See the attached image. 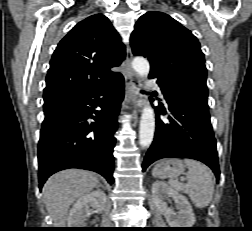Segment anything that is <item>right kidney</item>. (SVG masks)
I'll return each mask as SVG.
<instances>
[{
	"instance_id": "obj_1",
	"label": "right kidney",
	"mask_w": 252,
	"mask_h": 231,
	"mask_svg": "<svg viewBox=\"0 0 252 231\" xmlns=\"http://www.w3.org/2000/svg\"><path fill=\"white\" fill-rule=\"evenodd\" d=\"M107 203L106 194L96 190L79 198L73 205L68 216V226L71 228H84L85 221L90 216L89 204H92L98 212H102Z\"/></svg>"
}]
</instances>
